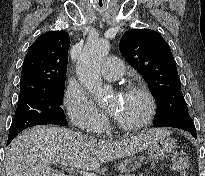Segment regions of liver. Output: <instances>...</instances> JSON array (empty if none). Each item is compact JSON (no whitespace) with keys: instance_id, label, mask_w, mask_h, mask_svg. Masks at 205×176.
Returning a JSON list of instances; mask_svg holds the SVG:
<instances>
[{"instance_id":"6515ba94","label":"liver","mask_w":205,"mask_h":176,"mask_svg":"<svg viewBox=\"0 0 205 176\" xmlns=\"http://www.w3.org/2000/svg\"><path fill=\"white\" fill-rule=\"evenodd\" d=\"M152 129L119 141L97 140L60 127L39 126L18 135L6 150V176H52L50 164L68 162L94 171L104 162L131 156L168 135Z\"/></svg>"}]
</instances>
